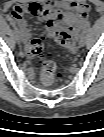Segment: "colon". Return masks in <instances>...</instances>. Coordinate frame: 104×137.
Listing matches in <instances>:
<instances>
[{
    "instance_id": "1",
    "label": "colon",
    "mask_w": 104,
    "mask_h": 137,
    "mask_svg": "<svg viewBox=\"0 0 104 137\" xmlns=\"http://www.w3.org/2000/svg\"><path fill=\"white\" fill-rule=\"evenodd\" d=\"M47 36L54 39L58 44L65 47L69 53L76 52L75 40L67 28L58 24L47 26ZM29 53L37 63L40 79L43 85H51L58 77L56 64L51 55L44 50V42L41 38L33 39L30 42Z\"/></svg>"
}]
</instances>
